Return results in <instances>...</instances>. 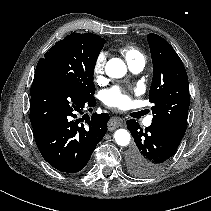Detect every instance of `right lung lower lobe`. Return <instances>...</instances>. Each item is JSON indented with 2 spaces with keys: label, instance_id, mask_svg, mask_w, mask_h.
<instances>
[{
  "label": "right lung lower lobe",
  "instance_id": "1",
  "mask_svg": "<svg viewBox=\"0 0 211 211\" xmlns=\"http://www.w3.org/2000/svg\"><path fill=\"white\" fill-rule=\"evenodd\" d=\"M30 92V122L41 155L61 172H79L106 134L109 115L94 113L84 126L77 113L92 110L96 99L54 74L35 72Z\"/></svg>",
  "mask_w": 211,
  "mask_h": 211
}]
</instances>
